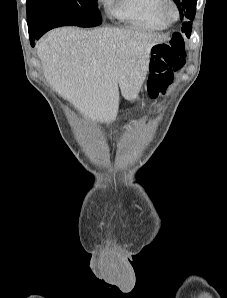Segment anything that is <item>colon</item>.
I'll return each instance as SVG.
<instances>
[{"mask_svg": "<svg viewBox=\"0 0 227 298\" xmlns=\"http://www.w3.org/2000/svg\"><path fill=\"white\" fill-rule=\"evenodd\" d=\"M186 49L183 38L173 34L170 40L156 44L152 49V66L155 73L150 77L148 93L157 97L165 93L174 74L185 64Z\"/></svg>", "mask_w": 227, "mask_h": 298, "instance_id": "1", "label": "colon"}]
</instances>
